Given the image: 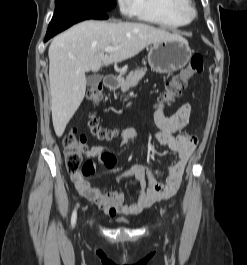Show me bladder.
<instances>
[{"label":"bladder","instance_id":"bladder-1","mask_svg":"<svg viewBox=\"0 0 247 265\" xmlns=\"http://www.w3.org/2000/svg\"><path fill=\"white\" fill-rule=\"evenodd\" d=\"M119 223L120 224H128L129 223V220L123 219V220H120Z\"/></svg>","mask_w":247,"mask_h":265}]
</instances>
